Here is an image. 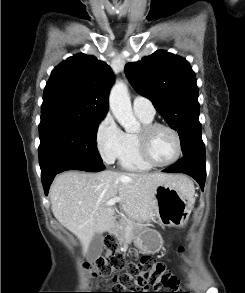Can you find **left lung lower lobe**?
I'll return each mask as SVG.
<instances>
[{
    "mask_svg": "<svg viewBox=\"0 0 245 293\" xmlns=\"http://www.w3.org/2000/svg\"><path fill=\"white\" fill-rule=\"evenodd\" d=\"M163 172L185 173L190 175L199 183L203 191L206 180V160L194 156H184L174 165L163 170Z\"/></svg>",
    "mask_w": 245,
    "mask_h": 293,
    "instance_id": "1",
    "label": "left lung lower lobe"
}]
</instances>
